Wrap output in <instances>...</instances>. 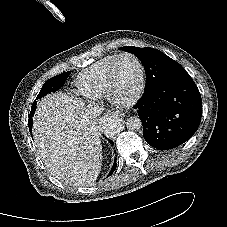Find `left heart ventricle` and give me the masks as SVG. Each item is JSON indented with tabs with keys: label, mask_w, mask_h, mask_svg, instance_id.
Returning <instances> with one entry per match:
<instances>
[{
	"label": "left heart ventricle",
	"mask_w": 227,
	"mask_h": 227,
	"mask_svg": "<svg viewBox=\"0 0 227 227\" xmlns=\"http://www.w3.org/2000/svg\"><path fill=\"white\" fill-rule=\"evenodd\" d=\"M115 92L119 99L133 97L139 87L140 71L137 63L130 57L118 61L115 66Z\"/></svg>",
	"instance_id": "1"
}]
</instances>
